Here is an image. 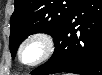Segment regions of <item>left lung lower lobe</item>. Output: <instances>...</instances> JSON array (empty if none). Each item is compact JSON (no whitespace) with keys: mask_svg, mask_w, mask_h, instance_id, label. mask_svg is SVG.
<instances>
[{"mask_svg":"<svg viewBox=\"0 0 102 75\" xmlns=\"http://www.w3.org/2000/svg\"><path fill=\"white\" fill-rule=\"evenodd\" d=\"M53 40L52 57L31 74L102 75V1L81 0Z\"/></svg>","mask_w":102,"mask_h":75,"instance_id":"0a47b994","label":"left lung lower lobe"}]
</instances>
